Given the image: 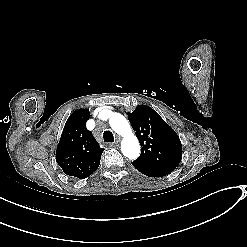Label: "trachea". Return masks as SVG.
Instances as JSON below:
<instances>
[{
	"label": "trachea",
	"instance_id": "1",
	"mask_svg": "<svg viewBox=\"0 0 247 247\" xmlns=\"http://www.w3.org/2000/svg\"><path fill=\"white\" fill-rule=\"evenodd\" d=\"M103 139H104V142H106V143L114 142V136H113L112 132H110V131H105L104 132Z\"/></svg>",
	"mask_w": 247,
	"mask_h": 247
}]
</instances>
